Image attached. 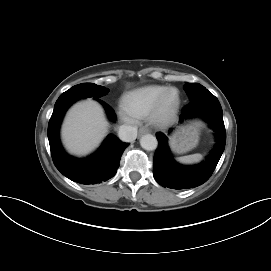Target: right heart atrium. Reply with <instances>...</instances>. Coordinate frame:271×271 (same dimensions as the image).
Listing matches in <instances>:
<instances>
[{"instance_id": "obj_1", "label": "right heart atrium", "mask_w": 271, "mask_h": 271, "mask_svg": "<svg viewBox=\"0 0 271 271\" xmlns=\"http://www.w3.org/2000/svg\"><path fill=\"white\" fill-rule=\"evenodd\" d=\"M120 116L124 121H131V116H129L125 111H121Z\"/></svg>"}]
</instances>
